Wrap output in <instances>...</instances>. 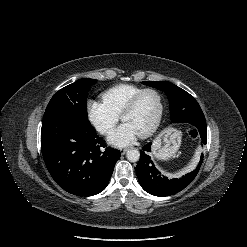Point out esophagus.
<instances>
[{"instance_id":"esophagus-1","label":"esophagus","mask_w":247,"mask_h":247,"mask_svg":"<svg viewBox=\"0 0 247 247\" xmlns=\"http://www.w3.org/2000/svg\"><path fill=\"white\" fill-rule=\"evenodd\" d=\"M127 151H128V149H126V148L120 149V153H121L122 155L125 154Z\"/></svg>"}]
</instances>
